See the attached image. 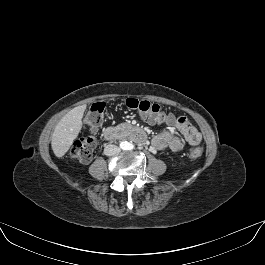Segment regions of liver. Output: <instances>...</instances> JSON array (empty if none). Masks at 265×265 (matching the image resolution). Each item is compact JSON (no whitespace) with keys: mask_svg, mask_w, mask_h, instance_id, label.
<instances>
[{"mask_svg":"<svg viewBox=\"0 0 265 265\" xmlns=\"http://www.w3.org/2000/svg\"><path fill=\"white\" fill-rule=\"evenodd\" d=\"M85 109V106L72 109L56 125L51 137V147L56 157L64 156L77 138Z\"/></svg>","mask_w":265,"mask_h":265,"instance_id":"6515ba94","label":"liver"}]
</instances>
